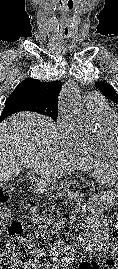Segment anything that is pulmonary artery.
Masks as SVG:
<instances>
[{"label":"pulmonary artery","instance_id":"obj_1","mask_svg":"<svg viewBox=\"0 0 118 269\" xmlns=\"http://www.w3.org/2000/svg\"><path fill=\"white\" fill-rule=\"evenodd\" d=\"M85 104L90 111L103 108L107 105L105 98L96 91L88 92L85 97Z\"/></svg>","mask_w":118,"mask_h":269}]
</instances>
